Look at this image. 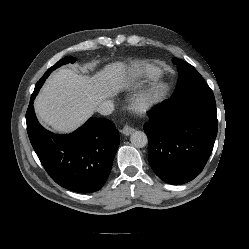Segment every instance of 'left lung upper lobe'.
Wrapping results in <instances>:
<instances>
[{"label":"left lung upper lobe","instance_id":"obj_1","mask_svg":"<svg viewBox=\"0 0 249 249\" xmlns=\"http://www.w3.org/2000/svg\"><path fill=\"white\" fill-rule=\"evenodd\" d=\"M173 63L177 65L179 80L172 96V108L198 102L215 103L212 90L192 65L178 58H173Z\"/></svg>","mask_w":249,"mask_h":249}]
</instances>
